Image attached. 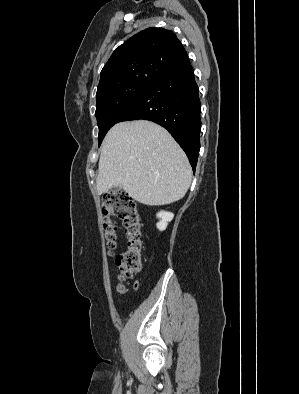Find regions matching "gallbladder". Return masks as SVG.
<instances>
[{
	"instance_id": "bac80fb5",
	"label": "gallbladder",
	"mask_w": 299,
	"mask_h": 394,
	"mask_svg": "<svg viewBox=\"0 0 299 394\" xmlns=\"http://www.w3.org/2000/svg\"><path fill=\"white\" fill-rule=\"evenodd\" d=\"M120 190H121L120 187H113V191H114V192H118V191H120Z\"/></svg>"
}]
</instances>
